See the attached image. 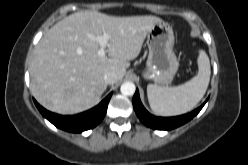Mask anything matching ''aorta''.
I'll return each mask as SVG.
<instances>
[{
  "instance_id": "aorta-1",
  "label": "aorta",
  "mask_w": 248,
  "mask_h": 165,
  "mask_svg": "<svg viewBox=\"0 0 248 165\" xmlns=\"http://www.w3.org/2000/svg\"><path fill=\"white\" fill-rule=\"evenodd\" d=\"M136 87L132 82H125L121 85L120 91L123 95L131 96L135 93Z\"/></svg>"
}]
</instances>
